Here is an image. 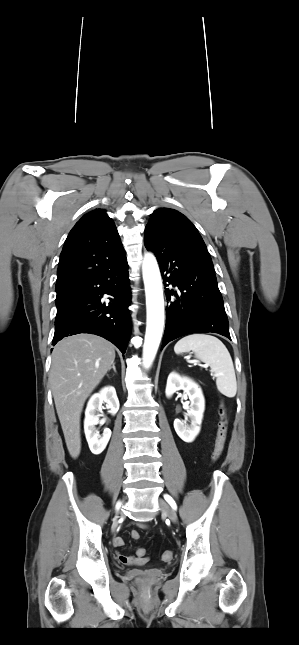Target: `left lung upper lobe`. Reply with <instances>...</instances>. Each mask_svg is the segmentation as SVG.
Instances as JSON below:
<instances>
[{
	"label": "left lung upper lobe",
	"instance_id": "5c2ea615",
	"mask_svg": "<svg viewBox=\"0 0 299 645\" xmlns=\"http://www.w3.org/2000/svg\"><path fill=\"white\" fill-rule=\"evenodd\" d=\"M172 231H182L201 238L195 226L186 216L170 208H159L155 210L151 214V219L145 228L146 235L166 234Z\"/></svg>",
	"mask_w": 299,
	"mask_h": 645
}]
</instances>
